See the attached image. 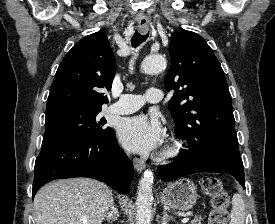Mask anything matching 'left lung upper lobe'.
<instances>
[{"label": "left lung upper lobe", "mask_w": 275, "mask_h": 224, "mask_svg": "<svg viewBox=\"0 0 275 224\" xmlns=\"http://www.w3.org/2000/svg\"><path fill=\"white\" fill-rule=\"evenodd\" d=\"M171 67L165 76L177 125L176 135L189 146L236 145L231 95L224 71L212 49L198 34L181 29L172 34Z\"/></svg>", "instance_id": "1"}]
</instances>
